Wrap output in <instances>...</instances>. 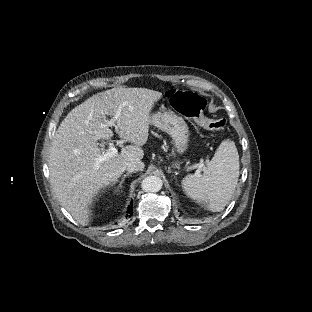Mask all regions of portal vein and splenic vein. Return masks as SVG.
Returning a JSON list of instances; mask_svg holds the SVG:
<instances>
[{"instance_id": "obj_1", "label": "portal vein and splenic vein", "mask_w": 312, "mask_h": 312, "mask_svg": "<svg viewBox=\"0 0 312 312\" xmlns=\"http://www.w3.org/2000/svg\"><path fill=\"white\" fill-rule=\"evenodd\" d=\"M120 113L121 111L119 110L115 115V119H117L120 116ZM115 119H111L110 121H108L107 122L108 125L113 126L115 124ZM116 154H118V150L115 147L110 146L108 152L95 158L94 170H98L102 162L107 161L109 158H111L112 156H115ZM203 167H204L203 163L196 164L194 166V168H197L196 174H199Z\"/></svg>"}]
</instances>
